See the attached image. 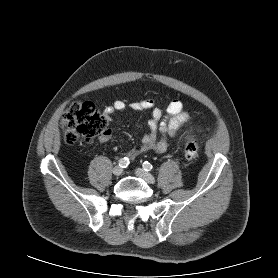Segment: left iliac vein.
<instances>
[{"mask_svg": "<svg viewBox=\"0 0 278 278\" xmlns=\"http://www.w3.org/2000/svg\"><path fill=\"white\" fill-rule=\"evenodd\" d=\"M135 174H136L138 177L144 179V180H145L147 183H149V184H154V183H155V178H154V176L151 175L150 173L144 171V170L141 169V168H137V169L135 170Z\"/></svg>", "mask_w": 278, "mask_h": 278, "instance_id": "1", "label": "left iliac vein"}]
</instances>
